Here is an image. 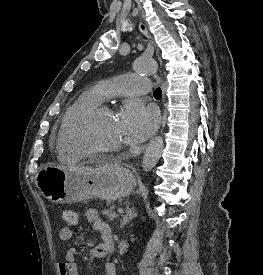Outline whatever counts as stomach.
<instances>
[{"label": "stomach", "instance_id": "1", "mask_svg": "<svg viewBox=\"0 0 263 275\" xmlns=\"http://www.w3.org/2000/svg\"><path fill=\"white\" fill-rule=\"evenodd\" d=\"M36 186L57 204L99 198L107 202L128 196L135 186L132 172L118 163L96 167L47 166L36 176Z\"/></svg>", "mask_w": 263, "mask_h": 275}]
</instances>
